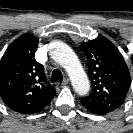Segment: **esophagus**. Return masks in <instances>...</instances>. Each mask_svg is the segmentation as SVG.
<instances>
[{
  "label": "esophagus",
  "mask_w": 133,
  "mask_h": 133,
  "mask_svg": "<svg viewBox=\"0 0 133 133\" xmlns=\"http://www.w3.org/2000/svg\"><path fill=\"white\" fill-rule=\"evenodd\" d=\"M69 83V78H65L62 82V85H67Z\"/></svg>",
  "instance_id": "1"
}]
</instances>
